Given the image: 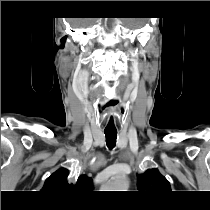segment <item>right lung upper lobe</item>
Returning a JSON list of instances; mask_svg holds the SVG:
<instances>
[{
	"label": "right lung upper lobe",
	"instance_id": "obj_1",
	"mask_svg": "<svg viewBox=\"0 0 210 210\" xmlns=\"http://www.w3.org/2000/svg\"><path fill=\"white\" fill-rule=\"evenodd\" d=\"M68 174L67 169L57 170L46 179L42 191L55 199L64 200L75 197L79 192L92 189L93 185L90 177L81 175L76 182L70 183L67 180Z\"/></svg>",
	"mask_w": 210,
	"mask_h": 210
}]
</instances>
